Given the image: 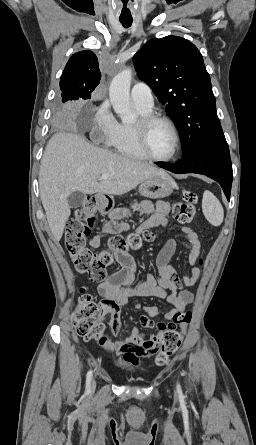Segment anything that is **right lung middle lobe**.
I'll return each mask as SVG.
<instances>
[{
	"mask_svg": "<svg viewBox=\"0 0 256 445\" xmlns=\"http://www.w3.org/2000/svg\"><path fill=\"white\" fill-rule=\"evenodd\" d=\"M71 100H76V99L62 94V103H64V105H62L60 110L55 114L56 120H63L64 118H66L69 101Z\"/></svg>",
	"mask_w": 256,
	"mask_h": 445,
	"instance_id": "1",
	"label": "right lung middle lobe"
}]
</instances>
